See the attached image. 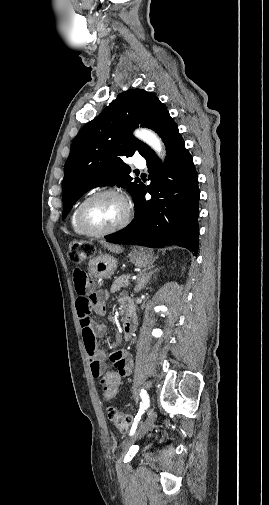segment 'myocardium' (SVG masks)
Wrapping results in <instances>:
<instances>
[{
    "label": "myocardium",
    "instance_id": "obj_1",
    "mask_svg": "<svg viewBox=\"0 0 269 505\" xmlns=\"http://www.w3.org/2000/svg\"><path fill=\"white\" fill-rule=\"evenodd\" d=\"M104 196H115V197L120 198L125 205V215H124L123 219L115 226L108 228V229L99 230V229H95V228L91 227L86 222L85 212H86L87 207L93 201H95L96 199H98L100 197H104ZM131 218H132V205H131L129 199L126 197V195L124 193H122L121 191H119L117 189H113V188L104 189V190H100V191L93 193L92 195L87 197L81 203V205L78 209V212H77L78 225L87 235L93 236V237H102V236H107V235H111L116 232H119L129 224V222L131 221Z\"/></svg>",
    "mask_w": 269,
    "mask_h": 505
}]
</instances>
